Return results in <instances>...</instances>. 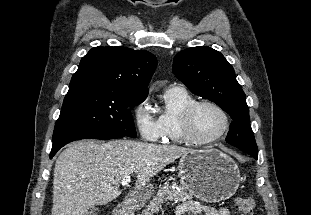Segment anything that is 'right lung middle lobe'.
<instances>
[{
    "mask_svg": "<svg viewBox=\"0 0 311 215\" xmlns=\"http://www.w3.org/2000/svg\"><path fill=\"white\" fill-rule=\"evenodd\" d=\"M146 97L94 86L71 87L56 121L52 141L109 134L136 137L130 110Z\"/></svg>",
    "mask_w": 311,
    "mask_h": 215,
    "instance_id": "right-lung-middle-lobe-1",
    "label": "right lung middle lobe"
}]
</instances>
